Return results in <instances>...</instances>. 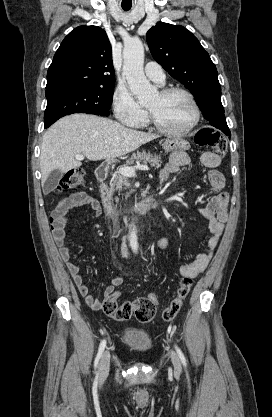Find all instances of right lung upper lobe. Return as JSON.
<instances>
[{
	"instance_id": "1",
	"label": "right lung upper lobe",
	"mask_w": 272,
	"mask_h": 417,
	"mask_svg": "<svg viewBox=\"0 0 272 417\" xmlns=\"http://www.w3.org/2000/svg\"><path fill=\"white\" fill-rule=\"evenodd\" d=\"M115 85L112 49L103 29L79 26L62 41L47 72L46 91Z\"/></svg>"
}]
</instances>
